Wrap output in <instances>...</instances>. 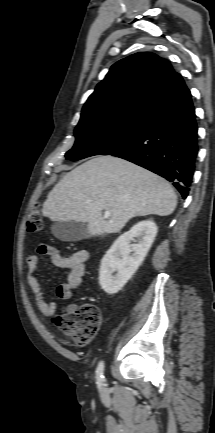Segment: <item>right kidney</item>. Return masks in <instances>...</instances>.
Wrapping results in <instances>:
<instances>
[{
  "instance_id": "1",
  "label": "right kidney",
  "mask_w": 215,
  "mask_h": 433,
  "mask_svg": "<svg viewBox=\"0 0 215 433\" xmlns=\"http://www.w3.org/2000/svg\"><path fill=\"white\" fill-rule=\"evenodd\" d=\"M157 234L152 220H143L117 238L104 255L99 270V283L108 294L122 289L146 257ZM137 238L136 244L131 241ZM114 272H117L113 275Z\"/></svg>"
}]
</instances>
